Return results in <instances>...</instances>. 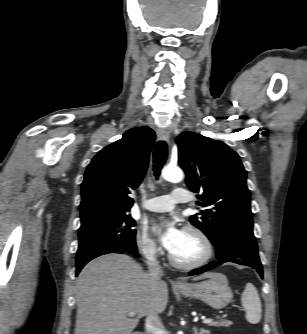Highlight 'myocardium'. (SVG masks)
I'll list each match as a JSON object with an SVG mask.
<instances>
[{"label": "myocardium", "instance_id": "f54148a6", "mask_svg": "<svg viewBox=\"0 0 307 334\" xmlns=\"http://www.w3.org/2000/svg\"><path fill=\"white\" fill-rule=\"evenodd\" d=\"M184 232H190L195 234L201 241L203 246V254L200 258L190 261L182 262L178 260L171 252L169 254V260L172 265L177 268L190 270L205 265L213 256L214 248L209 236L199 227L194 225H186Z\"/></svg>", "mask_w": 307, "mask_h": 334}]
</instances>
